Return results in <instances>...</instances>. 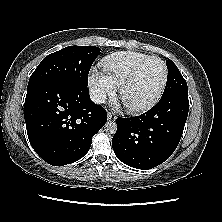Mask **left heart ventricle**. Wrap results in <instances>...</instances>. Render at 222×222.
Segmentation results:
<instances>
[{"mask_svg": "<svg viewBox=\"0 0 222 222\" xmlns=\"http://www.w3.org/2000/svg\"><path fill=\"white\" fill-rule=\"evenodd\" d=\"M163 75L164 70L160 61L148 62L137 79L124 91V102L128 105H139L151 99L159 90Z\"/></svg>", "mask_w": 222, "mask_h": 222, "instance_id": "obj_1", "label": "left heart ventricle"}]
</instances>
